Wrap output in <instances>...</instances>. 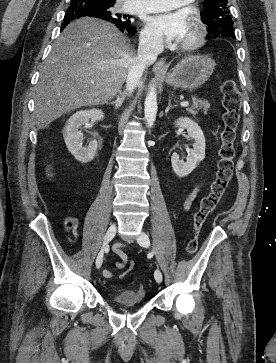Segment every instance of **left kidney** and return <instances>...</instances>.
<instances>
[{
  "label": "left kidney",
  "instance_id": "1",
  "mask_svg": "<svg viewBox=\"0 0 276 363\" xmlns=\"http://www.w3.org/2000/svg\"><path fill=\"white\" fill-rule=\"evenodd\" d=\"M176 127L187 130L188 137L194 140L193 149L184 162L179 158L178 153H173L171 157L172 168L178 177L189 175L205 158V137L200 126L187 117H181L175 121Z\"/></svg>",
  "mask_w": 276,
  "mask_h": 363
}]
</instances>
